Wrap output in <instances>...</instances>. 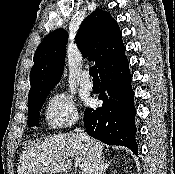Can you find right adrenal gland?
Masks as SVG:
<instances>
[{
  "label": "right adrenal gland",
  "instance_id": "obj_1",
  "mask_svg": "<svg viewBox=\"0 0 175 174\" xmlns=\"http://www.w3.org/2000/svg\"><path fill=\"white\" fill-rule=\"evenodd\" d=\"M110 164H111V161L107 162L105 159H103L102 174H106V171H107Z\"/></svg>",
  "mask_w": 175,
  "mask_h": 174
}]
</instances>
